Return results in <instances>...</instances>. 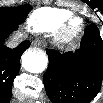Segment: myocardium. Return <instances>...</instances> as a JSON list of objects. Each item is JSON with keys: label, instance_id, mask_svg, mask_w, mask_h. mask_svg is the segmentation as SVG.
<instances>
[{"label": "myocardium", "instance_id": "1", "mask_svg": "<svg viewBox=\"0 0 103 103\" xmlns=\"http://www.w3.org/2000/svg\"><path fill=\"white\" fill-rule=\"evenodd\" d=\"M84 20L79 16H70L59 28L57 38L61 41H70L84 29Z\"/></svg>", "mask_w": 103, "mask_h": 103}]
</instances>
